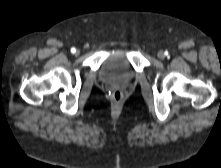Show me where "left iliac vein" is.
<instances>
[{"label":"left iliac vein","instance_id":"4c4485c4","mask_svg":"<svg viewBox=\"0 0 221 168\" xmlns=\"http://www.w3.org/2000/svg\"><path fill=\"white\" fill-rule=\"evenodd\" d=\"M157 56H158V58L161 59V60L165 58V54H164L163 51H159L158 54H157Z\"/></svg>","mask_w":221,"mask_h":168}]
</instances>
